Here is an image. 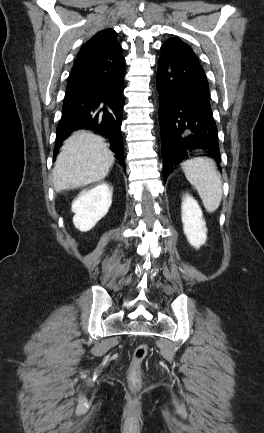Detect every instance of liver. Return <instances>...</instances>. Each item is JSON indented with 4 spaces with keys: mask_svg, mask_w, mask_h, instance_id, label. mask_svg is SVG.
<instances>
[{
    "mask_svg": "<svg viewBox=\"0 0 264 433\" xmlns=\"http://www.w3.org/2000/svg\"><path fill=\"white\" fill-rule=\"evenodd\" d=\"M114 163V154L104 139L86 131L65 140L56 158L53 185L56 192L76 189L104 179Z\"/></svg>",
    "mask_w": 264,
    "mask_h": 433,
    "instance_id": "liver-1",
    "label": "liver"
}]
</instances>
